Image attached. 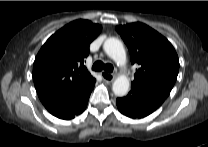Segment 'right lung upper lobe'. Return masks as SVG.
<instances>
[{
  "instance_id": "1",
  "label": "right lung upper lobe",
  "mask_w": 208,
  "mask_h": 147,
  "mask_svg": "<svg viewBox=\"0 0 208 147\" xmlns=\"http://www.w3.org/2000/svg\"><path fill=\"white\" fill-rule=\"evenodd\" d=\"M102 27L73 21L53 34L38 52L33 66L37 94L47 108L76 96L95 79L83 66L90 43Z\"/></svg>"
}]
</instances>
